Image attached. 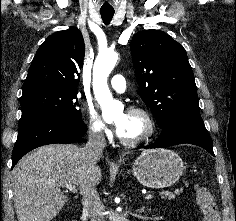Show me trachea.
<instances>
[{"label": "trachea", "instance_id": "1", "mask_svg": "<svg viewBox=\"0 0 236 221\" xmlns=\"http://www.w3.org/2000/svg\"><path fill=\"white\" fill-rule=\"evenodd\" d=\"M100 14H101V17H102L104 23L106 25H108L113 18L114 11H106V12L102 11V12H100Z\"/></svg>", "mask_w": 236, "mask_h": 221}]
</instances>
